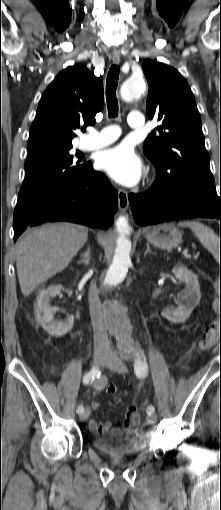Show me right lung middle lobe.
<instances>
[{"instance_id": "obj_1", "label": "right lung middle lobe", "mask_w": 221, "mask_h": 510, "mask_svg": "<svg viewBox=\"0 0 221 510\" xmlns=\"http://www.w3.org/2000/svg\"><path fill=\"white\" fill-rule=\"evenodd\" d=\"M71 148L45 147L28 153L26 177L14 214H21L39 196L73 183L85 171L88 162L81 163L83 154L73 155L69 152Z\"/></svg>"}]
</instances>
